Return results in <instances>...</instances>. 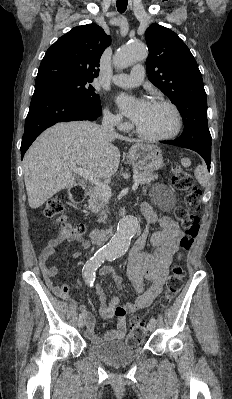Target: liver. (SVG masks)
<instances>
[{
  "label": "liver",
  "instance_id": "6515ba94",
  "mask_svg": "<svg viewBox=\"0 0 232 399\" xmlns=\"http://www.w3.org/2000/svg\"><path fill=\"white\" fill-rule=\"evenodd\" d=\"M115 138L130 142L129 138L103 130L95 122H63L45 130L23 160L30 207H40L57 192L75 186L70 162L89 170L95 178L114 176L120 164V152L110 144Z\"/></svg>",
  "mask_w": 232,
  "mask_h": 399
}]
</instances>
